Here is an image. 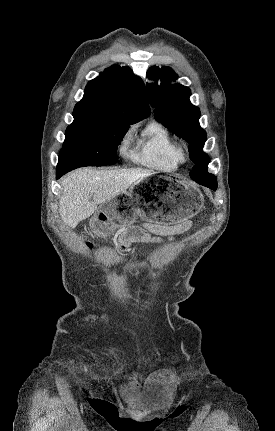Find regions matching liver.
I'll use <instances>...</instances> for the list:
<instances>
[{
    "instance_id": "obj_1",
    "label": "liver",
    "mask_w": 275,
    "mask_h": 431,
    "mask_svg": "<svg viewBox=\"0 0 275 431\" xmlns=\"http://www.w3.org/2000/svg\"><path fill=\"white\" fill-rule=\"evenodd\" d=\"M153 174L145 169L75 170L61 180V218L66 225L74 228L94 214L98 204L124 193L138 180Z\"/></svg>"
}]
</instances>
